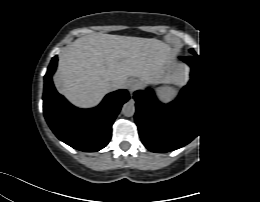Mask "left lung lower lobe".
Listing matches in <instances>:
<instances>
[{
    "label": "left lung lower lobe",
    "instance_id": "1",
    "mask_svg": "<svg viewBox=\"0 0 260 202\" xmlns=\"http://www.w3.org/2000/svg\"><path fill=\"white\" fill-rule=\"evenodd\" d=\"M193 56L180 59L191 67L190 81L169 104L158 101L152 89L136 91L135 123L147 149L166 153L188 144L201 134L210 112L211 95L208 75L201 57L190 49Z\"/></svg>",
    "mask_w": 260,
    "mask_h": 202
}]
</instances>
